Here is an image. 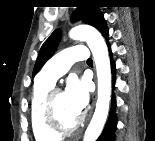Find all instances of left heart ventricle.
Listing matches in <instances>:
<instances>
[{"label":"left heart ventricle","mask_w":155,"mask_h":141,"mask_svg":"<svg viewBox=\"0 0 155 141\" xmlns=\"http://www.w3.org/2000/svg\"><path fill=\"white\" fill-rule=\"evenodd\" d=\"M54 107L60 123L64 126L73 125L79 116L70 108L63 93H59L54 98Z\"/></svg>","instance_id":"1"}]
</instances>
